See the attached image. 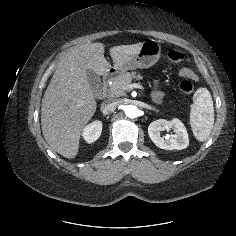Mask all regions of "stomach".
Listing matches in <instances>:
<instances>
[{
  "instance_id": "0dacf381",
  "label": "stomach",
  "mask_w": 236,
  "mask_h": 236,
  "mask_svg": "<svg viewBox=\"0 0 236 236\" xmlns=\"http://www.w3.org/2000/svg\"><path fill=\"white\" fill-rule=\"evenodd\" d=\"M161 55V46L158 41L149 39L142 43L140 51L125 65L117 69L123 73L136 68H149L156 64Z\"/></svg>"
}]
</instances>
